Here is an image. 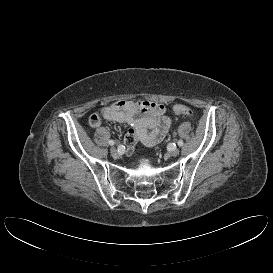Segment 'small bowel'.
<instances>
[{
  "label": "small bowel",
  "instance_id": "obj_1",
  "mask_svg": "<svg viewBox=\"0 0 273 273\" xmlns=\"http://www.w3.org/2000/svg\"><path fill=\"white\" fill-rule=\"evenodd\" d=\"M102 119L130 126L125 136L128 154L134 151L137 142L149 147L158 144L171 127L165 106L157 102L121 100L111 103L91 115L90 127H98Z\"/></svg>",
  "mask_w": 273,
  "mask_h": 273
}]
</instances>
